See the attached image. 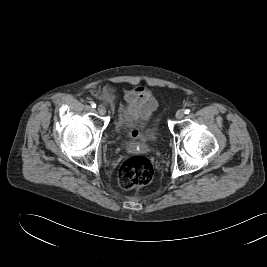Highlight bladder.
Returning a JSON list of instances; mask_svg holds the SVG:
<instances>
[{
  "instance_id": "obj_1",
  "label": "bladder",
  "mask_w": 267,
  "mask_h": 267,
  "mask_svg": "<svg viewBox=\"0 0 267 267\" xmlns=\"http://www.w3.org/2000/svg\"><path fill=\"white\" fill-rule=\"evenodd\" d=\"M124 149L126 150V151H128V152H134V151H136V150H143L144 149V147H139V146H137L135 143H133V142H127V143H125V145H124Z\"/></svg>"
}]
</instances>
